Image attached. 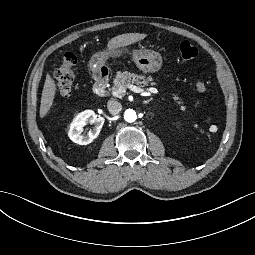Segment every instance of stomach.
Returning a JSON list of instances; mask_svg holds the SVG:
<instances>
[{"instance_id": "stomach-1", "label": "stomach", "mask_w": 255, "mask_h": 255, "mask_svg": "<svg viewBox=\"0 0 255 255\" xmlns=\"http://www.w3.org/2000/svg\"><path fill=\"white\" fill-rule=\"evenodd\" d=\"M110 53L116 55L118 50H111ZM107 53H96L90 60V70L93 73L99 71L104 65ZM134 60L143 73H155L161 70L163 59L159 53L150 50H136L134 51Z\"/></svg>"}]
</instances>
